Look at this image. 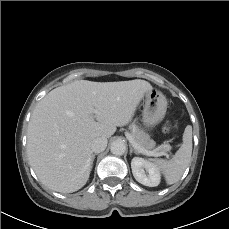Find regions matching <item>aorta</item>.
Segmentation results:
<instances>
[{
	"mask_svg": "<svg viewBox=\"0 0 229 229\" xmlns=\"http://www.w3.org/2000/svg\"><path fill=\"white\" fill-rule=\"evenodd\" d=\"M111 153L117 156L123 155L126 151V145L121 140H116L111 143Z\"/></svg>",
	"mask_w": 229,
	"mask_h": 229,
	"instance_id": "762f6f07",
	"label": "aorta"
}]
</instances>
